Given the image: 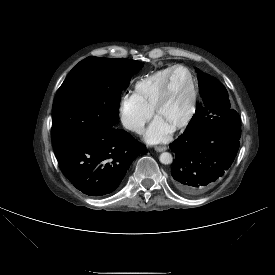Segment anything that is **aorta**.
Returning a JSON list of instances; mask_svg holds the SVG:
<instances>
[{"label": "aorta", "instance_id": "762f6f07", "mask_svg": "<svg viewBox=\"0 0 275 275\" xmlns=\"http://www.w3.org/2000/svg\"><path fill=\"white\" fill-rule=\"evenodd\" d=\"M159 160L162 164L168 165L172 163L173 157L169 152H163L161 153Z\"/></svg>", "mask_w": 275, "mask_h": 275}]
</instances>
